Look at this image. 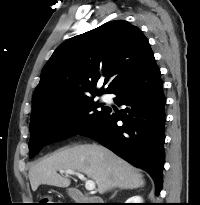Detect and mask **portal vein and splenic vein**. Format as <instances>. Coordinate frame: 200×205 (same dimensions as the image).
Masks as SVG:
<instances>
[{"label": "portal vein and splenic vein", "instance_id": "1", "mask_svg": "<svg viewBox=\"0 0 200 205\" xmlns=\"http://www.w3.org/2000/svg\"><path fill=\"white\" fill-rule=\"evenodd\" d=\"M61 173H66V174H71V175H76L78 178L81 180L85 181V188L88 191H93L95 189V182L92 180H87L83 174L79 172H75L73 170H60Z\"/></svg>", "mask_w": 200, "mask_h": 205}]
</instances>
